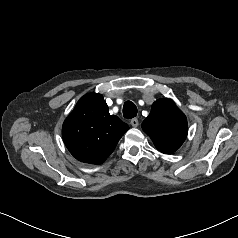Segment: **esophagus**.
Listing matches in <instances>:
<instances>
[{"mask_svg": "<svg viewBox=\"0 0 238 238\" xmlns=\"http://www.w3.org/2000/svg\"><path fill=\"white\" fill-rule=\"evenodd\" d=\"M130 124L132 125V127H138L139 121H138L137 118H133V119L130 121Z\"/></svg>", "mask_w": 238, "mask_h": 238, "instance_id": "obj_1", "label": "esophagus"}]
</instances>
